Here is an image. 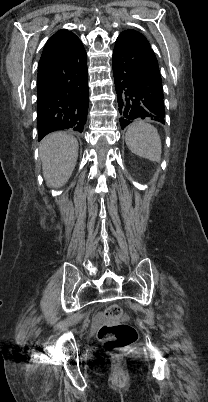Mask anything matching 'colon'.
<instances>
[{
	"label": "colon",
	"mask_w": 208,
	"mask_h": 402,
	"mask_svg": "<svg viewBox=\"0 0 208 402\" xmlns=\"http://www.w3.org/2000/svg\"><path fill=\"white\" fill-rule=\"evenodd\" d=\"M106 315L105 324L99 325L98 338L104 342L105 350L113 354L131 344L138 337V330L134 324L120 323L121 308L109 307Z\"/></svg>",
	"instance_id": "1"
}]
</instances>
